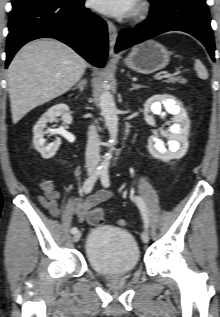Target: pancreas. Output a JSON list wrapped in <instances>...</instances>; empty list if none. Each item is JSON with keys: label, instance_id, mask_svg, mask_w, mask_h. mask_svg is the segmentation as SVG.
<instances>
[{"label": "pancreas", "instance_id": "cf45deb5", "mask_svg": "<svg viewBox=\"0 0 220 317\" xmlns=\"http://www.w3.org/2000/svg\"><path fill=\"white\" fill-rule=\"evenodd\" d=\"M168 83H176V82H179V83H185L186 80L184 78H181V77H171L167 80Z\"/></svg>", "mask_w": 220, "mask_h": 317}]
</instances>
